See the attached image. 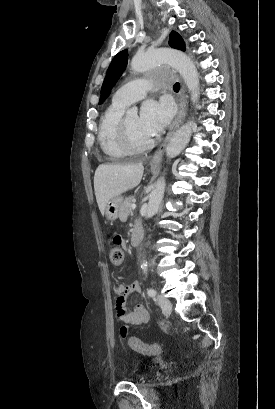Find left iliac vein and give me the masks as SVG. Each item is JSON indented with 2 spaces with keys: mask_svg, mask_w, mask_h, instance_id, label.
Listing matches in <instances>:
<instances>
[{
  "mask_svg": "<svg viewBox=\"0 0 275 409\" xmlns=\"http://www.w3.org/2000/svg\"><path fill=\"white\" fill-rule=\"evenodd\" d=\"M156 301L158 302L159 306L161 307L164 313L170 314V312L172 311V305L168 298L161 295H157Z\"/></svg>",
  "mask_w": 275,
  "mask_h": 409,
  "instance_id": "obj_1",
  "label": "left iliac vein"
}]
</instances>
